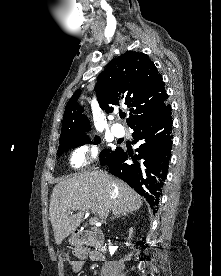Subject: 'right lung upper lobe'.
<instances>
[{
	"instance_id": "1",
	"label": "right lung upper lobe",
	"mask_w": 221,
	"mask_h": 276,
	"mask_svg": "<svg viewBox=\"0 0 221 276\" xmlns=\"http://www.w3.org/2000/svg\"><path fill=\"white\" fill-rule=\"evenodd\" d=\"M95 91L107 113L113 112L109 105L125 103L130 108L129 126L157 115L168 104L162 76L140 52L129 51L110 61L98 76ZM80 93L77 90L65 108L59 142L85 136L91 130L84 108L77 103Z\"/></svg>"
}]
</instances>
